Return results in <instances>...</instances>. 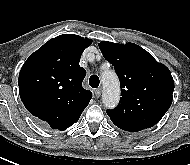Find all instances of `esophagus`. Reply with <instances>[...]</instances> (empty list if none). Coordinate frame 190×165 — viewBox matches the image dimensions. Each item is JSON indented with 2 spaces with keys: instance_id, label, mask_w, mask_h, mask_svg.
Returning <instances> with one entry per match:
<instances>
[{
  "instance_id": "obj_1",
  "label": "esophagus",
  "mask_w": 190,
  "mask_h": 165,
  "mask_svg": "<svg viewBox=\"0 0 190 165\" xmlns=\"http://www.w3.org/2000/svg\"><path fill=\"white\" fill-rule=\"evenodd\" d=\"M94 95L96 98H99L101 95V88H97L94 90Z\"/></svg>"
}]
</instances>
